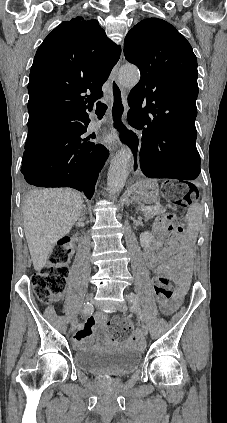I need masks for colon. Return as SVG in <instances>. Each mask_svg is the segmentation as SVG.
<instances>
[{
  "instance_id": "1",
  "label": "colon",
  "mask_w": 227,
  "mask_h": 423,
  "mask_svg": "<svg viewBox=\"0 0 227 423\" xmlns=\"http://www.w3.org/2000/svg\"><path fill=\"white\" fill-rule=\"evenodd\" d=\"M164 195L167 199L179 206H186L197 195V189L193 184L182 186L168 184L164 188ZM160 238H165L169 231L182 232V227L177 225V216L171 213L165 214L160 219ZM72 242H58L48 259L47 264L33 277L32 289L38 299L44 303L59 300L65 290L66 281L69 276V262L73 253ZM156 295L161 303L167 302L174 295V284L167 277H158L154 281ZM118 332L128 335L131 324L123 319L116 318L113 321Z\"/></svg>"
}]
</instances>
